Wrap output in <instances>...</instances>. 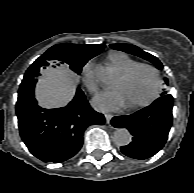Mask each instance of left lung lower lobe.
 <instances>
[{"label":"left lung lower lobe","instance_id":"left-lung-lower-lobe-1","mask_svg":"<svg viewBox=\"0 0 194 193\" xmlns=\"http://www.w3.org/2000/svg\"><path fill=\"white\" fill-rule=\"evenodd\" d=\"M172 107L173 97L166 94L133 114L114 117L111 124L126 128L132 135V141L121 147L122 153L143 160L161 150L171 128Z\"/></svg>","mask_w":194,"mask_h":193}]
</instances>
